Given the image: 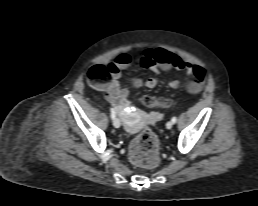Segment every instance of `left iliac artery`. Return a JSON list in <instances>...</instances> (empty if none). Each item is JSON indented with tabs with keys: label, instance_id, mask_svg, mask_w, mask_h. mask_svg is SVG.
<instances>
[{
	"label": "left iliac artery",
	"instance_id": "obj_1",
	"mask_svg": "<svg viewBox=\"0 0 258 206\" xmlns=\"http://www.w3.org/2000/svg\"><path fill=\"white\" fill-rule=\"evenodd\" d=\"M171 121L173 122V123H176L177 122V117H173L172 119H171Z\"/></svg>",
	"mask_w": 258,
	"mask_h": 206
}]
</instances>
